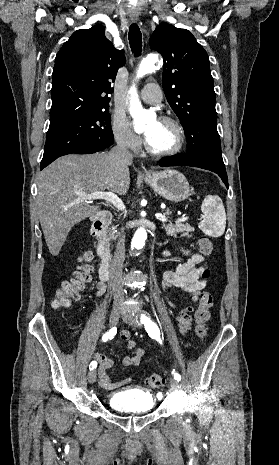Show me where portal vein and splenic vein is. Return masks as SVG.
Segmentation results:
<instances>
[{"mask_svg":"<svg viewBox=\"0 0 279 465\" xmlns=\"http://www.w3.org/2000/svg\"><path fill=\"white\" fill-rule=\"evenodd\" d=\"M80 196L86 200H95V199L105 200L113 204V206L116 207L118 210L120 211L125 210V206L122 200L116 194L112 192H100L99 191V192H93L89 194H81ZM155 216L160 221H163V222L167 221L165 215L161 213H157L155 214ZM187 219L188 217H183V218L178 219L177 222H185Z\"/></svg>","mask_w":279,"mask_h":465,"instance_id":"1","label":"portal vein and splenic vein"}]
</instances>
